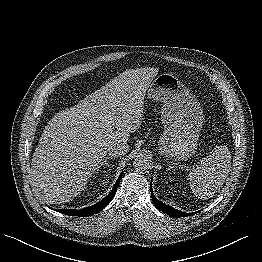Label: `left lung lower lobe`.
Returning a JSON list of instances; mask_svg holds the SVG:
<instances>
[{"label":"left lung lower lobe","instance_id":"0a47b994","mask_svg":"<svg viewBox=\"0 0 262 262\" xmlns=\"http://www.w3.org/2000/svg\"><path fill=\"white\" fill-rule=\"evenodd\" d=\"M152 182V181H151ZM151 196H152V200L154 202V205L157 209L167 213L168 215L172 216V217H187L189 215H193L195 213H185L182 211H179L169 205H166L162 202H160L159 200H157L152 192V183H151Z\"/></svg>","mask_w":262,"mask_h":262}]
</instances>
